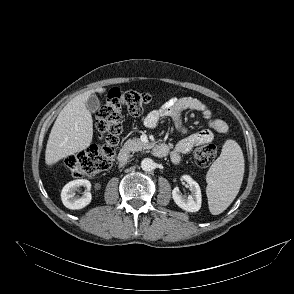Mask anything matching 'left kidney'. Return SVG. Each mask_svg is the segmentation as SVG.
Listing matches in <instances>:
<instances>
[{
	"mask_svg": "<svg viewBox=\"0 0 294 294\" xmlns=\"http://www.w3.org/2000/svg\"><path fill=\"white\" fill-rule=\"evenodd\" d=\"M182 179L189 184L191 195L185 198L182 196L179 188L175 187L172 191L173 200L181 209L188 212H197L201 208L202 202L200 186L188 175L182 176Z\"/></svg>",
	"mask_w": 294,
	"mask_h": 294,
	"instance_id": "5707ae66",
	"label": "left kidney"
}]
</instances>
